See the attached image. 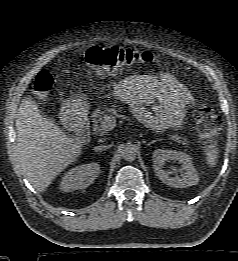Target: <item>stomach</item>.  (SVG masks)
<instances>
[{
  "label": "stomach",
  "instance_id": "stomach-1",
  "mask_svg": "<svg viewBox=\"0 0 238 261\" xmlns=\"http://www.w3.org/2000/svg\"><path fill=\"white\" fill-rule=\"evenodd\" d=\"M89 107L85 97H74L66 105V112L73 116L83 115Z\"/></svg>",
  "mask_w": 238,
  "mask_h": 261
}]
</instances>
